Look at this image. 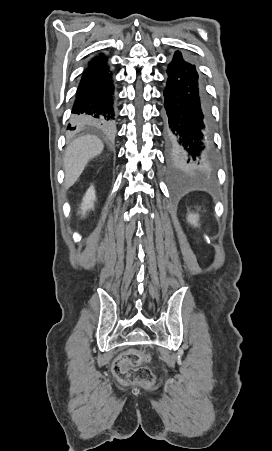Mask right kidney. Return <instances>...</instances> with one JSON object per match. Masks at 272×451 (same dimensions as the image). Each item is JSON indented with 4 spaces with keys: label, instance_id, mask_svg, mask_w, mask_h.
<instances>
[{
    "label": "right kidney",
    "instance_id": "1",
    "mask_svg": "<svg viewBox=\"0 0 272 451\" xmlns=\"http://www.w3.org/2000/svg\"><path fill=\"white\" fill-rule=\"evenodd\" d=\"M95 200H96V196H95L94 186H90V188H88V190L83 198V202H82L81 208H80V210H82V212H80V214H83V216H85V214H86V212H88V210H93Z\"/></svg>",
    "mask_w": 272,
    "mask_h": 451
}]
</instances>
